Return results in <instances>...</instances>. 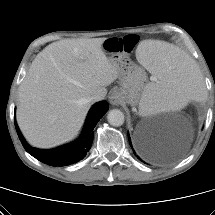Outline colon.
Masks as SVG:
<instances>
[{
    "label": "colon",
    "instance_id": "obj_1",
    "mask_svg": "<svg viewBox=\"0 0 215 215\" xmlns=\"http://www.w3.org/2000/svg\"><path fill=\"white\" fill-rule=\"evenodd\" d=\"M138 43L137 35H126L122 38H108L104 42V49L108 53H115L122 51L123 53H130Z\"/></svg>",
    "mask_w": 215,
    "mask_h": 215
}]
</instances>
